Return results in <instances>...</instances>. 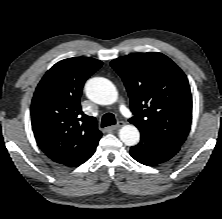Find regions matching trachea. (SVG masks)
<instances>
[{
  "instance_id": "obj_1",
  "label": "trachea",
  "mask_w": 222,
  "mask_h": 219,
  "mask_svg": "<svg viewBox=\"0 0 222 219\" xmlns=\"http://www.w3.org/2000/svg\"><path fill=\"white\" fill-rule=\"evenodd\" d=\"M116 124L115 116L112 113H106L101 120V127H106Z\"/></svg>"
}]
</instances>
